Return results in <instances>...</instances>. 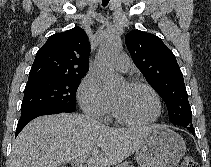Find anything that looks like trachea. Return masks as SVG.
I'll use <instances>...</instances> for the list:
<instances>
[{"mask_svg": "<svg viewBox=\"0 0 211 167\" xmlns=\"http://www.w3.org/2000/svg\"><path fill=\"white\" fill-rule=\"evenodd\" d=\"M109 3V0H102V5L106 6Z\"/></svg>", "mask_w": 211, "mask_h": 167, "instance_id": "obj_1", "label": "trachea"}]
</instances>
